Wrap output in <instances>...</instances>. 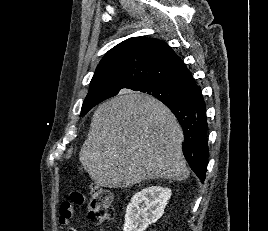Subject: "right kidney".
I'll return each instance as SVG.
<instances>
[{
    "label": "right kidney",
    "instance_id": "1",
    "mask_svg": "<svg viewBox=\"0 0 268 231\" xmlns=\"http://www.w3.org/2000/svg\"><path fill=\"white\" fill-rule=\"evenodd\" d=\"M171 189L151 186L137 192L127 205L123 231H144L164 213Z\"/></svg>",
    "mask_w": 268,
    "mask_h": 231
}]
</instances>
